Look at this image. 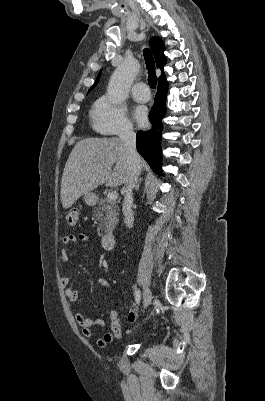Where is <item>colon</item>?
<instances>
[{
  "instance_id": "colon-1",
  "label": "colon",
  "mask_w": 265,
  "mask_h": 401,
  "mask_svg": "<svg viewBox=\"0 0 265 401\" xmlns=\"http://www.w3.org/2000/svg\"><path fill=\"white\" fill-rule=\"evenodd\" d=\"M77 220H78V213H77L76 210H71L66 214V223L69 226H74L77 223ZM129 319L131 321L135 320V313L134 312H130Z\"/></svg>"
}]
</instances>
